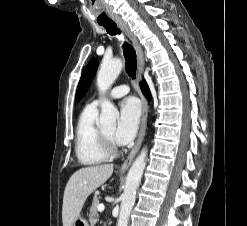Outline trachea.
I'll list each match as a JSON object with an SVG mask.
<instances>
[{"label": "trachea", "mask_w": 247, "mask_h": 226, "mask_svg": "<svg viewBox=\"0 0 247 226\" xmlns=\"http://www.w3.org/2000/svg\"><path fill=\"white\" fill-rule=\"evenodd\" d=\"M103 26L109 35H117L121 34L120 29L117 27L116 23L111 21L107 23L100 24ZM123 55L125 58V70L126 73L132 79L136 77V70H137V62H136V52L132 45L128 43H124L123 46Z\"/></svg>", "instance_id": "trachea-1"}]
</instances>
